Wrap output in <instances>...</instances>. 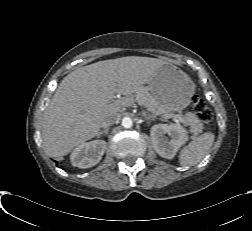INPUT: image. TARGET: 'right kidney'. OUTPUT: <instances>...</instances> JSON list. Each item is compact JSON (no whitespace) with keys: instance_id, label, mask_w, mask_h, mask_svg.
Returning <instances> with one entry per match:
<instances>
[{"instance_id":"1","label":"right kidney","mask_w":252,"mask_h":231,"mask_svg":"<svg viewBox=\"0 0 252 231\" xmlns=\"http://www.w3.org/2000/svg\"><path fill=\"white\" fill-rule=\"evenodd\" d=\"M105 150L106 142L104 140L90 141L77 146L73 150L70 160L74 167L90 168L99 163Z\"/></svg>"}]
</instances>
